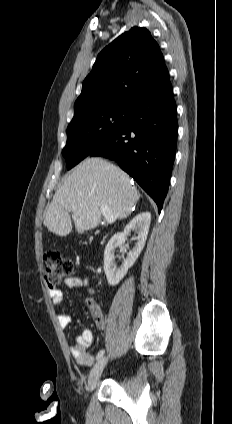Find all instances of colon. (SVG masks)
<instances>
[{"label":"colon","instance_id":"5ec220e1","mask_svg":"<svg viewBox=\"0 0 232 424\" xmlns=\"http://www.w3.org/2000/svg\"><path fill=\"white\" fill-rule=\"evenodd\" d=\"M42 271L47 286L54 288L73 273L74 263L57 251H48L42 258Z\"/></svg>","mask_w":232,"mask_h":424}]
</instances>
